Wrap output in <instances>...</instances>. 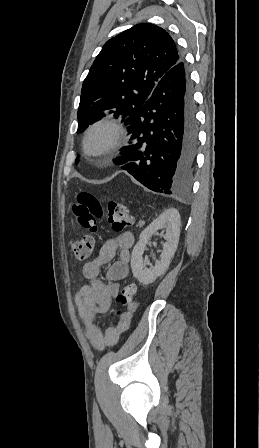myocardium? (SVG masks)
I'll list each match as a JSON object with an SVG mask.
<instances>
[{
	"instance_id": "f54148a6",
	"label": "myocardium",
	"mask_w": 259,
	"mask_h": 448,
	"mask_svg": "<svg viewBox=\"0 0 259 448\" xmlns=\"http://www.w3.org/2000/svg\"><path fill=\"white\" fill-rule=\"evenodd\" d=\"M96 132H102L105 135L103 143L96 148L97 154H92L90 140ZM122 134L121 125L114 119L103 117L91 122L85 129L81 140V154L87 161H104L111 160L114 150L120 141Z\"/></svg>"
}]
</instances>
